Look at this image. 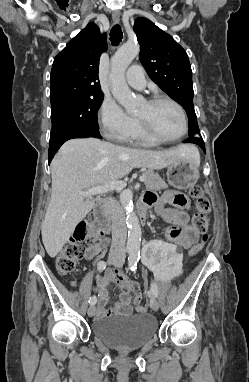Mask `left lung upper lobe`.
<instances>
[{
  "mask_svg": "<svg viewBox=\"0 0 249 382\" xmlns=\"http://www.w3.org/2000/svg\"><path fill=\"white\" fill-rule=\"evenodd\" d=\"M134 32L140 44V61L147 74L186 110L189 137L200 135L193 106L192 70L186 51L148 19L136 20Z\"/></svg>",
  "mask_w": 249,
  "mask_h": 382,
  "instance_id": "1",
  "label": "left lung upper lobe"
}]
</instances>
